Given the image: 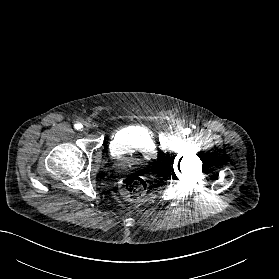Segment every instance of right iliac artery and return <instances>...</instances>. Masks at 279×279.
I'll list each match as a JSON object with an SVG mask.
<instances>
[{
	"label": "right iliac artery",
	"mask_w": 279,
	"mask_h": 279,
	"mask_svg": "<svg viewBox=\"0 0 279 279\" xmlns=\"http://www.w3.org/2000/svg\"><path fill=\"white\" fill-rule=\"evenodd\" d=\"M74 127L77 130H80L81 128H83V126L81 124H75Z\"/></svg>",
	"instance_id": "right-iliac-artery-1"
}]
</instances>
